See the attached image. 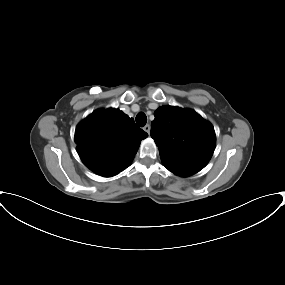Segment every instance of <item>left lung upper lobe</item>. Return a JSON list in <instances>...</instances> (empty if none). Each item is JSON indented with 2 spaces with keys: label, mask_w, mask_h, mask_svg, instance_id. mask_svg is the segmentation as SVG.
<instances>
[{
  "label": "left lung upper lobe",
  "mask_w": 285,
  "mask_h": 285,
  "mask_svg": "<svg viewBox=\"0 0 285 285\" xmlns=\"http://www.w3.org/2000/svg\"><path fill=\"white\" fill-rule=\"evenodd\" d=\"M151 137L159 148L164 166L203 169L215 149L211 123L190 109L162 106L154 112Z\"/></svg>",
  "instance_id": "left-lung-upper-lobe-1"
}]
</instances>
